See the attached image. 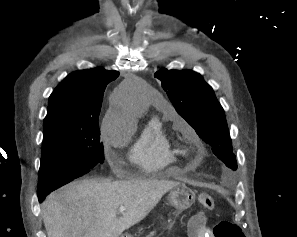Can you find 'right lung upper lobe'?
Here are the masks:
<instances>
[{"mask_svg": "<svg viewBox=\"0 0 297 237\" xmlns=\"http://www.w3.org/2000/svg\"><path fill=\"white\" fill-rule=\"evenodd\" d=\"M118 71L92 68L69 74L49 97L44 125L61 120L98 121L106 86Z\"/></svg>", "mask_w": 297, "mask_h": 237, "instance_id": "cb5924a9", "label": "right lung upper lobe"}]
</instances>
